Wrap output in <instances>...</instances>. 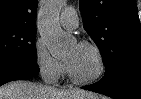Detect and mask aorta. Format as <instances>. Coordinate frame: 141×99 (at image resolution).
I'll return each instance as SVG.
<instances>
[{
    "mask_svg": "<svg viewBox=\"0 0 141 99\" xmlns=\"http://www.w3.org/2000/svg\"><path fill=\"white\" fill-rule=\"evenodd\" d=\"M62 5L63 0H46L39 13L38 30L53 56L64 54L73 44V38L64 34L59 25Z\"/></svg>",
    "mask_w": 141,
    "mask_h": 99,
    "instance_id": "1",
    "label": "aorta"
}]
</instances>
